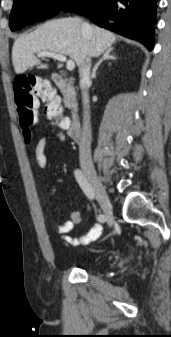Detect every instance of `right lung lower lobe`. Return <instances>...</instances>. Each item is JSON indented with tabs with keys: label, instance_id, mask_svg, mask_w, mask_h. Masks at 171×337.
Returning <instances> with one entry per match:
<instances>
[{
	"label": "right lung lower lobe",
	"instance_id": "obj_1",
	"mask_svg": "<svg viewBox=\"0 0 171 337\" xmlns=\"http://www.w3.org/2000/svg\"><path fill=\"white\" fill-rule=\"evenodd\" d=\"M157 0H75L63 10L88 17L98 26L154 46Z\"/></svg>",
	"mask_w": 171,
	"mask_h": 337
}]
</instances>
